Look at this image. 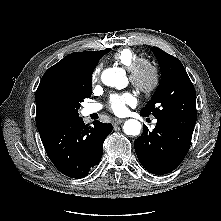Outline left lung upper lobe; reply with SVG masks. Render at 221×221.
<instances>
[{
    "instance_id": "1",
    "label": "left lung upper lobe",
    "mask_w": 221,
    "mask_h": 221,
    "mask_svg": "<svg viewBox=\"0 0 221 221\" xmlns=\"http://www.w3.org/2000/svg\"><path fill=\"white\" fill-rule=\"evenodd\" d=\"M152 50L159 62L162 79L152 99L141 110L167 126L194 130L197 119L194 86L182 63L158 47Z\"/></svg>"
}]
</instances>
